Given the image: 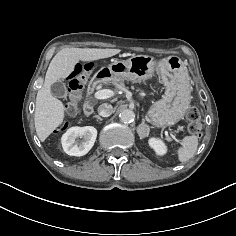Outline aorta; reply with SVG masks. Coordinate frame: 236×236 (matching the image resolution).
<instances>
[{
	"label": "aorta",
	"instance_id": "1",
	"mask_svg": "<svg viewBox=\"0 0 236 236\" xmlns=\"http://www.w3.org/2000/svg\"><path fill=\"white\" fill-rule=\"evenodd\" d=\"M120 121L123 123H131L135 119V114L130 109H125L119 114Z\"/></svg>",
	"mask_w": 236,
	"mask_h": 236
}]
</instances>
